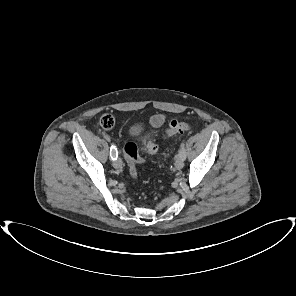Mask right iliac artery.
Wrapping results in <instances>:
<instances>
[{
  "label": "right iliac artery",
  "instance_id": "obj_1",
  "mask_svg": "<svg viewBox=\"0 0 296 296\" xmlns=\"http://www.w3.org/2000/svg\"><path fill=\"white\" fill-rule=\"evenodd\" d=\"M117 156H118L117 148L114 145H112L110 149V157L112 160H116Z\"/></svg>",
  "mask_w": 296,
  "mask_h": 296
}]
</instances>
